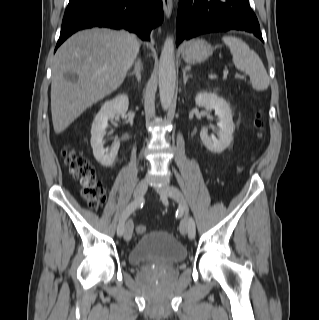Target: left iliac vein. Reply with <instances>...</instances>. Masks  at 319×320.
<instances>
[{
	"label": "left iliac vein",
	"instance_id": "1",
	"mask_svg": "<svg viewBox=\"0 0 319 320\" xmlns=\"http://www.w3.org/2000/svg\"><path fill=\"white\" fill-rule=\"evenodd\" d=\"M156 191L162 197H171L179 204L181 210L184 213V217L182 218L180 223V232L182 235L188 234L189 237L188 207L181 191L178 188L171 185H163L160 187H156ZM189 239L191 238L189 237Z\"/></svg>",
	"mask_w": 319,
	"mask_h": 320
}]
</instances>
